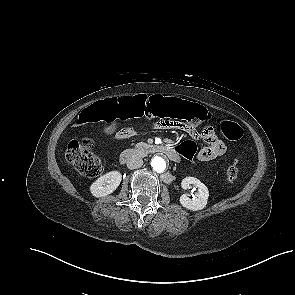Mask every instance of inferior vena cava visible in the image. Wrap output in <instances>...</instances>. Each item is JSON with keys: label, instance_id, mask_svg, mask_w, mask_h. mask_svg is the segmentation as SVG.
I'll return each instance as SVG.
<instances>
[{"label": "inferior vena cava", "instance_id": "inferior-vena-cava-1", "mask_svg": "<svg viewBox=\"0 0 295 295\" xmlns=\"http://www.w3.org/2000/svg\"><path fill=\"white\" fill-rule=\"evenodd\" d=\"M143 160L139 157H131L127 160V167L131 170L142 167Z\"/></svg>", "mask_w": 295, "mask_h": 295}]
</instances>
